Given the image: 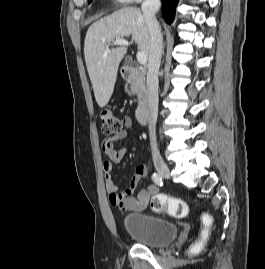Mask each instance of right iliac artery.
Masks as SVG:
<instances>
[{
    "instance_id": "obj_1",
    "label": "right iliac artery",
    "mask_w": 265,
    "mask_h": 269,
    "mask_svg": "<svg viewBox=\"0 0 265 269\" xmlns=\"http://www.w3.org/2000/svg\"><path fill=\"white\" fill-rule=\"evenodd\" d=\"M152 180L159 186L163 185L162 177L157 173H153Z\"/></svg>"
}]
</instances>
